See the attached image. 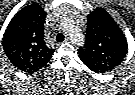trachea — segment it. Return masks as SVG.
<instances>
[{
  "label": "trachea",
  "mask_w": 135,
  "mask_h": 95,
  "mask_svg": "<svg viewBox=\"0 0 135 95\" xmlns=\"http://www.w3.org/2000/svg\"><path fill=\"white\" fill-rule=\"evenodd\" d=\"M64 38H65V36H64L62 33H59V34H57V36H56V40H57L58 42H63V41H64Z\"/></svg>",
  "instance_id": "obj_1"
}]
</instances>
